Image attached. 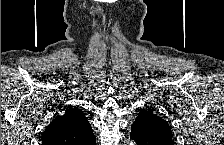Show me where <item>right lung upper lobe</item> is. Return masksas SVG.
I'll return each mask as SVG.
<instances>
[{"instance_id": "1", "label": "right lung upper lobe", "mask_w": 224, "mask_h": 145, "mask_svg": "<svg viewBox=\"0 0 224 145\" xmlns=\"http://www.w3.org/2000/svg\"><path fill=\"white\" fill-rule=\"evenodd\" d=\"M92 128L85 115L78 109H68L46 127L42 145H94Z\"/></svg>"}]
</instances>
